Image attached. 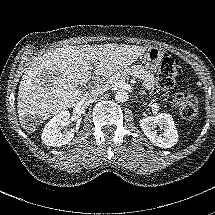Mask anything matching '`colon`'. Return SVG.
<instances>
[{
	"label": "colon",
	"mask_w": 215,
	"mask_h": 215,
	"mask_svg": "<svg viewBox=\"0 0 215 215\" xmlns=\"http://www.w3.org/2000/svg\"><path fill=\"white\" fill-rule=\"evenodd\" d=\"M177 63L174 58H165L157 75V83L164 96L185 117H194L197 113L196 100L191 96L174 90Z\"/></svg>",
	"instance_id": "obj_1"
}]
</instances>
